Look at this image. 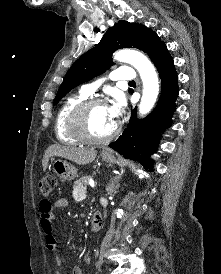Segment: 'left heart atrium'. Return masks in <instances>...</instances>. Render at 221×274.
<instances>
[{"instance_id": "obj_1", "label": "left heart atrium", "mask_w": 221, "mask_h": 274, "mask_svg": "<svg viewBox=\"0 0 221 274\" xmlns=\"http://www.w3.org/2000/svg\"><path fill=\"white\" fill-rule=\"evenodd\" d=\"M124 108V101L121 98H117L113 104L108 106V111L110 118L116 122V120L121 116Z\"/></svg>"}]
</instances>
